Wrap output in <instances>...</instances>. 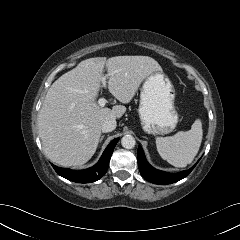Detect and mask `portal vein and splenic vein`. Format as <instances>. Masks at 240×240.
Listing matches in <instances>:
<instances>
[{
  "label": "portal vein and splenic vein",
  "instance_id": "obj_1",
  "mask_svg": "<svg viewBox=\"0 0 240 240\" xmlns=\"http://www.w3.org/2000/svg\"><path fill=\"white\" fill-rule=\"evenodd\" d=\"M102 83H103V86H106V76L102 78ZM105 104H106V99L104 97L98 100V105L100 107H104Z\"/></svg>",
  "mask_w": 240,
  "mask_h": 240
}]
</instances>
